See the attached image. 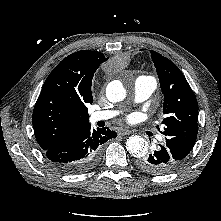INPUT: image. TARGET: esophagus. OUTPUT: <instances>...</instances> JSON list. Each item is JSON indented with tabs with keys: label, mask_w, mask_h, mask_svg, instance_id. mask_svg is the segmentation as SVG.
Wrapping results in <instances>:
<instances>
[{
	"label": "esophagus",
	"mask_w": 221,
	"mask_h": 221,
	"mask_svg": "<svg viewBox=\"0 0 221 221\" xmlns=\"http://www.w3.org/2000/svg\"><path fill=\"white\" fill-rule=\"evenodd\" d=\"M132 133V131L128 130V129H121L119 130L118 134L125 136V135H130Z\"/></svg>",
	"instance_id": "34e87169"
}]
</instances>
